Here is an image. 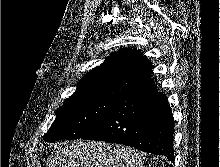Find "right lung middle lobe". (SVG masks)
<instances>
[{
  "mask_svg": "<svg viewBox=\"0 0 220 167\" xmlns=\"http://www.w3.org/2000/svg\"><path fill=\"white\" fill-rule=\"evenodd\" d=\"M113 100L97 96L67 99L43 139L52 142L83 137L103 119Z\"/></svg>",
  "mask_w": 220,
  "mask_h": 167,
  "instance_id": "obj_1",
  "label": "right lung middle lobe"
}]
</instances>
